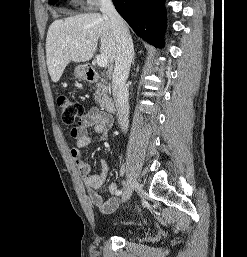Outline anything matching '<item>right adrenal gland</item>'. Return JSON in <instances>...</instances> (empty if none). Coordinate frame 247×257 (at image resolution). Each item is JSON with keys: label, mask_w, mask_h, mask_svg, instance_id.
<instances>
[{"label": "right adrenal gland", "mask_w": 247, "mask_h": 257, "mask_svg": "<svg viewBox=\"0 0 247 257\" xmlns=\"http://www.w3.org/2000/svg\"><path fill=\"white\" fill-rule=\"evenodd\" d=\"M132 64H134V58H133V62H132Z\"/></svg>", "instance_id": "right-adrenal-gland-1"}]
</instances>
